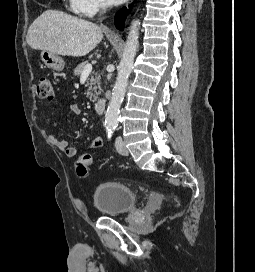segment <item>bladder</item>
<instances>
[{
	"label": "bladder",
	"mask_w": 255,
	"mask_h": 272,
	"mask_svg": "<svg viewBox=\"0 0 255 272\" xmlns=\"http://www.w3.org/2000/svg\"><path fill=\"white\" fill-rule=\"evenodd\" d=\"M95 209L104 216H120L131 211L137 202L135 193L120 182H106L95 187Z\"/></svg>",
	"instance_id": "1"
}]
</instances>
